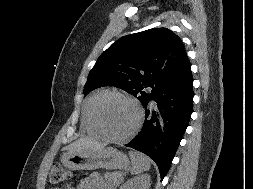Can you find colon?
I'll return each instance as SVG.
<instances>
[{
  "mask_svg": "<svg viewBox=\"0 0 253 189\" xmlns=\"http://www.w3.org/2000/svg\"><path fill=\"white\" fill-rule=\"evenodd\" d=\"M70 174L69 171L64 168L62 165L55 163L53 164L49 180L51 184H64L69 180Z\"/></svg>",
  "mask_w": 253,
  "mask_h": 189,
  "instance_id": "1",
  "label": "colon"
}]
</instances>
